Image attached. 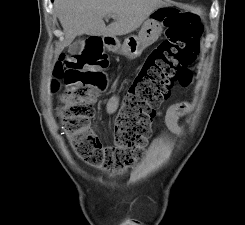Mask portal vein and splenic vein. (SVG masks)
<instances>
[{
  "mask_svg": "<svg viewBox=\"0 0 245 225\" xmlns=\"http://www.w3.org/2000/svg\"><path fill=\"white\" fill-rule=\"evenodd\" d=\"M109 17H112L113 19H115L116 18V16L115 15H108Z\"/></svg>",
  "mask_w": 245,
  "mask_h": 225,
  "instance_id": "18ae733b",
  "label": "portal vein and splenic vein"
}]
</instances>
